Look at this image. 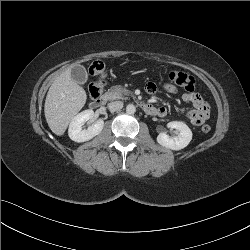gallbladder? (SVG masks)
<instances>
[{"label": "gallbladder", "instance_id": "bac80fb5", "mask_svg": "<svg viewBox=\"0 0 250 250\" xmlns=\"http://www.w3.org/2000/svg\"><path fill=\"white\" fill-rule=\"evenodd\" d=\"M71 77L75 82L84 84L87 81V71L81 65L74 66L71 69Z\"/></svg>", "mask_w": 250, "mask_h": 250}]
</instances>
